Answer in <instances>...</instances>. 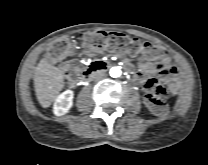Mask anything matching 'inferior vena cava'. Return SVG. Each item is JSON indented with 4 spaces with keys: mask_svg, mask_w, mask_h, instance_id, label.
<instances>
[{
    "mask_svg": "<svg viewBox=\"0 0 208 165\" xmlns=\"http://www.w3.org/2000/svg\"><path fill=\"white\" fill-rule=\"evenodd\" d=\"M106 77V74L103 72H96L91 76L92 80L99 81Z\"/></svg>",
    "mask_w": 208,
    "mask_h": 165,
    "instance_id": "inferior-vena-cava-1",
    "label": "inferior vena cava"
}]
</instances>
